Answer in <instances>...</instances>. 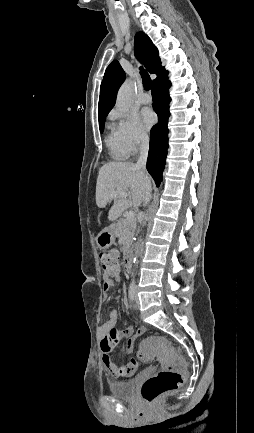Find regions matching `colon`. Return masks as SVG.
<instances>
[{"label":"colon","instance_id":"1","mask_svg":"<svg viewBox=\"0 0 254 433\" xmlns=\"http://www.w3.org/2000/svg\"><path fill=\"white\" fill-rule=\"evenodd\" d=\"M99 260L105 269L107 276L116 277L119 274L118 253L116 250H108L99 254ZM139 333L144 334V329H139ZM148 347L161 349L169 358L168 366L147 379L141 388V396L147 403L157 401L164 394L179 389L184 384V372L186 370L185 361L178 357L170 348L164 337H152L143 346L140 357L146 360L148 357L145 351Z\"/></svg>","mask_w":254,"mask_h":433}]
</instances>
